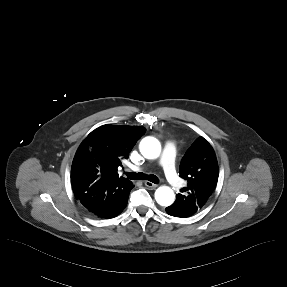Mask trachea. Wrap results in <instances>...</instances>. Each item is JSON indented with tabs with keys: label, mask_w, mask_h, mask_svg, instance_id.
<instances>
[{
	"label": "trachea",
	"mask_w": 287,
	"mask_h": 287,
	"mask_svg": "<svg viewBox=\"0 0 287 287\" xmlns=\"http://www.w3.org/2000/svg\"><path fill=\"white\" fill-rule=\"evenodd\" d=\"M128 179L130 180H148L152 183L158 184V177L155 175H146L144 173L128 172L126 173Z\"/></svg>",
	"instance_id": "1"
}]
</instances>
